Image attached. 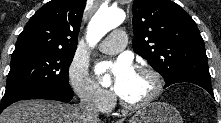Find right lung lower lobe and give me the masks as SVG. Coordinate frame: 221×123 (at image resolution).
<instances>
[{"label":"right lung lower lobe","instance_id":"98d812e1","mask_svg":"<svg viewBox=\"0 0 221 123\" xmlns=\"http://www.w3.org/2000/svg\"><path fill=\"white\" fill-rule=\"evenodd\" d=\"M73 97V91L72 89H66L63 87L59 88H52L46 92L40 93L35 96H29L24 93H18L15 95H11L8 97L5 101L1 102L0 106V113L10 104L20 101V100H26V99H52V100H58L62 102H69L71 98Z\"/></svg>","mask_w":221,"mask_h":123}]
</instances>
